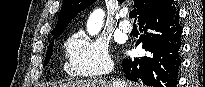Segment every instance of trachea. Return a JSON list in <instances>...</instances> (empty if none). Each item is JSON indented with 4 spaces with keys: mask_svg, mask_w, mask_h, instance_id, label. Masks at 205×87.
<instances>
[{
    "mask_svg": "<svg viewBox=\"0 0 205 87\" xmlns=\"http://www.w3.org/2000/svg\"><path fill=\"white\" fill-rule=\"evenodd\" d=\"M129 17H130V18H135V20H136L137 13H136V10H135V9L132 10V11L129 13Z\"/></svg>",
    "mask_w": 205,
    "mask_h": 87,
    "instance_id": "3493384b",
    "label": "trachea"
}]
</instances>
